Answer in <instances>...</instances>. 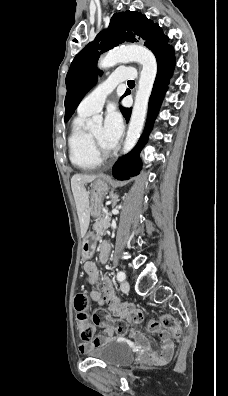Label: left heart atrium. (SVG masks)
I'll use <instances>...</instances> for the list:
<instances>
[{"mask_svg": "<svg viewBox=\"0 0 228 396\" xmlns=\"http://www.w3.org/2000/svg\"><path fill=\"white\" fill-rule=\"evenodd\" d=\"M123 132V121L120 113L111 109L108 111L104 122V137L113 148L119 141Z\"/></svg>", "mask_w": 228, "mask_h": 396, "instance_id": "left-heart-atrium-1", "label": "left heart atrium"}]
</instances>
